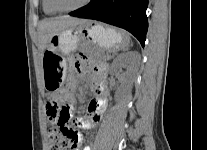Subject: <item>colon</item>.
Returning a JSON list of instances; mask_svg holds the SVG:
<instances>
[{
    "instance_id": "colon-1",
    "label": "colon",
    "mask_w": 207,
    "mask_h": 150,
    "mask_svg": "<svg viewBox=\"0 0 207 150\" xmlns=\"http://www.w3.org/2000/svg\"><path fill=\"white\" fill-rule=\"evenodd\" d=\"M66 102H60L59 96L51 97L46 104L50 119L48 140L51 150H77L78 132L68 126L70 113Z\"/></svg>"
}]
</instances>
